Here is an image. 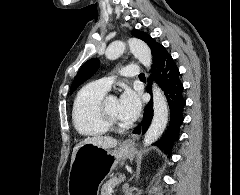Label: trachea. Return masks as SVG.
I'll return each mask as SVG.
<instances>
[{
  "instance_id": "3493384b",
  "label": "trachea",
  "mask_w": 240,
  "mask_h": 195,
  "mask_svg": "<svg viewBox=\"0 0 240 195\" xmlns=\"http://www.w3.org/2000/svg\"><path fill=\"white\" fill-rule=\"evenodd\" d=\"M139 78H140V79H145L144 73H140Z\"/></svg>"
}]
</instances>
